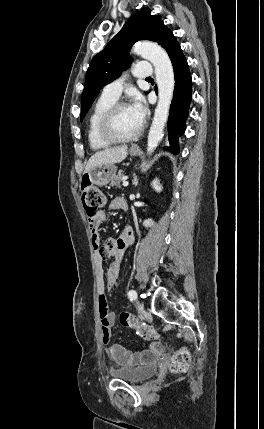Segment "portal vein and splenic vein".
I'll use <instances>...</instances> for the list:
<instances>
[{
    "mask_svg": "<svg viewBox=\"0 0 264 429\" xmlns=\"http://www.w3.org/2000/svg\"><path fill=\"white\" fill-rule=\"evenodd\" d=\"M128 184H129L128 181L126 179H124L123 186L126 187V186H128Z\"/></svg>",
    "mask_w": 264,
    "mask_h": 429,
    "instance_id": "18ae733b",
    "label": "portal vein and splenic vein"
}]
</instances>
